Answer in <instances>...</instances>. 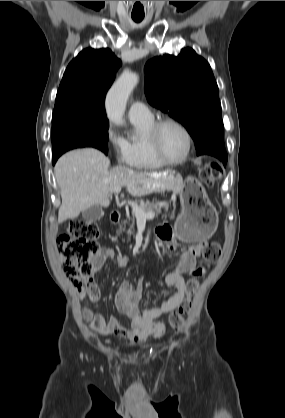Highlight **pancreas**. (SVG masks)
Segmentation results:
<instances>
[{"label": "pancreas", "instance_id": "pancreas-1", "mask_svg": "<svg viewBox=\"0 0 285 418\" xmlns=\"http://www.w3.org/2000/svg\"><path fill=\"white\" fill-rule=\"evenodd\" d=\"M145 213L151 212V211H156V212H160L162 208H164L166 211H168V205L164 202H160V201H156V202H145L142 203L139 206ZM175 208V205H174ZM132 224L130 225V228L126 231L125 225L128 223L127 220L123 221L120 225H119V230L117 231V233H122V232H127L128 234L133 233V229H134V224H135V213L132 211ZM169 217L173 218L174 217V210L172 211L171 214H168Z\"/></svg>", "mask_w": 285, "mask_h": 418}]
</instances>
